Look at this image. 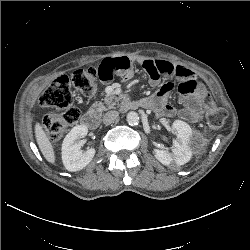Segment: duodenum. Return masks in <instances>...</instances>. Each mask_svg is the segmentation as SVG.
<instances>
[{"label": "duodenum", "mask_w": 250, "mask_h": 250, "mask_svg": "<svg viewBox=\"0 0 250 250\" xmlns=\"http://www.w3.org/2000/svg\"><path fill=\"white\" fill-rule=\"evenodd\" d=\"M140 103L139 102H135V101H123L120 104V111L121 112H125L128 111L130 109H135L140 107ZM82 123L87 126L89 129L94 130L99 126V120L96 116V114L92 111H87L83 117H82Z\"/></svg>", "instance_id": "1"}]
</instances>
